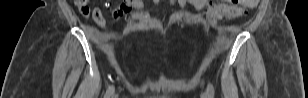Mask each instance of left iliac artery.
I'll use <instances>...</instances> for the list:
<instances>
[{
	"label": "left iliac artery",
	"instance_id": "obj_1",
	"mask_svg": "<svg viewBox=\"0 0 308 98\" xmlns=\"http://www.w3.org/2000/svg\"><path fill=\"white\" fill-rule=\"evenodd\" d=\"M207 94L209 98H214V87L212 83H208L207 85Z\"/></svg>",
	"mask_w": 308,
	"mask_h": 98
}]
</instances>
